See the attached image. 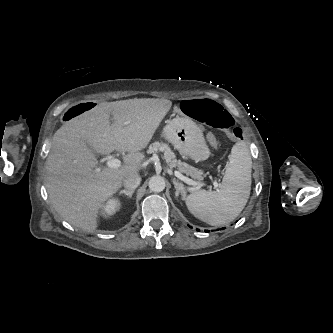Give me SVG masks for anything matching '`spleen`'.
<instances>
[{
  "label": "spleen",
  "instance_id": "3e777b00",
  "mask_svg": "<svg viewBox=\"0 0 333 333\" xmlns=\"http://www.w3.org/2000/svg\"><path fill=\"white\" fill-rule=\"evenodd\" d=\"M251 153L244 141L236 143L229 155L221 187L189 194L186 206L196 218L212 226L233 221L244 209L251 190Z\"/></svg>",
  "mask_w": 333,
  "mask_h": 333
}]
</instances>
